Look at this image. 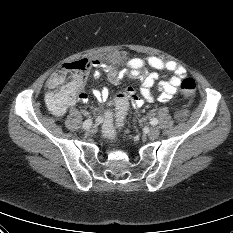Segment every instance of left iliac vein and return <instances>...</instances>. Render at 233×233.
Here are the masks:
<instances>
[{"instance_id":"obj_1","label":"left iliac vein","mask_w":233,"mask_h":233,"mask_svg":"<svg viewBox=\"0 0 233 233\" xmlns=\"http://www.w3.org/2000/svg\"><path fill=\"white\" fill-rule=\"evenodd\" d=\"M160 131L156 127H151L147 133L151 140L157 139L159 137Z\"/></svg>"}]
</instances>
